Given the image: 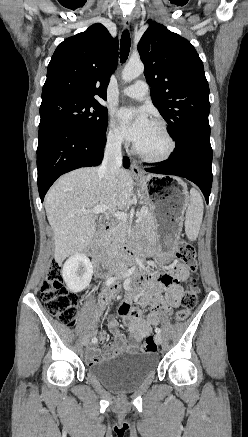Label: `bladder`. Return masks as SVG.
Instances as JSON below:
<instances>
[{
    "instance_id": "1",
    "label": "bladder",
    "mask_w": 248,
    "mask_h": 437,
    "mask_svg": "<svg viewBox=\"0 0 248 437\" xmlns=\"http://www.w3.org/2000/svg\"><path fill=\"white\" fill-rule=\"evenodd\" d=\"M152 353H125L88 368V374L109 390L122 393L136 388L156 369Z\"/></svg>"
}]
</instances>
